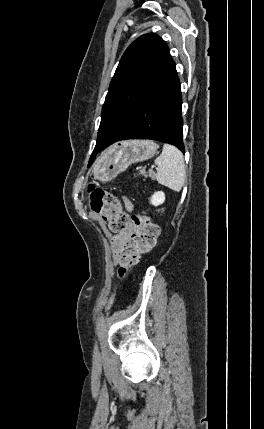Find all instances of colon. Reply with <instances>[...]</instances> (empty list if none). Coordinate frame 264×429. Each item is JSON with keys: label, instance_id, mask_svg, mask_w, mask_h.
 <instances>
[{"label": "colon", "instance_id": "obj_1", "mask_svg": "<svg viewBox=\"0 0 264 429\" xmlns=\"http://www.w3.org/2000/svg\"><path fill=\"white\" fill-rule=\"evenodd\" d=\"M91 209L104 217L112 233L133 230L132 240L118 251L119 275L124 278L135 267L142 254L151 251L158 236V227L143 215L129 216L122 208L119 199L107 190L91 186L89 188Z\"/></svg>", "mask_w": 264, "mask_h": 429}]
</instances>
